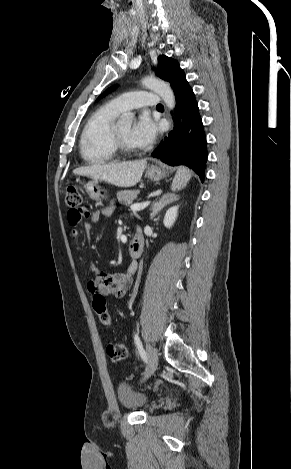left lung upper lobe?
Wrapping results in <instances>:
<instances>
[{"label":"left lung upper lobe","instance_id":"1","mask_svg":"<svg viewBox=\"0 0 291 469\" xmlns=\"http://www.w3.org/2000/svg\"><path fill=\"white\" fill-rule=\"evenodd\" d=\"M182 74H184V72L180 68L179 63L177 61L164 55L158 57V67L156 69V75L161 79L168 81L171 84V87L174 86V84ZM115 88L116 87L114 86L106 90V92H104L98 98V100Z\"/></svg>","mask_w":291,"mask_h":469}]
</instances>
